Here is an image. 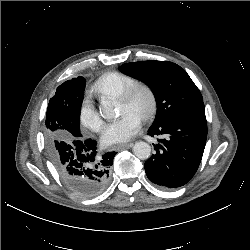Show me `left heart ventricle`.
Segmentation results:
<instances>
[{"label":"left heart ventricle","instance_id":"b2bd125f","mask_svg":"<svg viewBox=\"0 0 250 250\" xmlns=\"http://www.w3.org/2000/svg\"><path fill=\"white\" fill-rule=\"evenodd\" d=\"M147 104L148 100L146 95L144 93H139L129 104L118 101L119 113L123 114L125 112H131L140 118L141 114L146 109Z\"/></svg>","mask_w":250,"mask_h":250}]
</instances>
